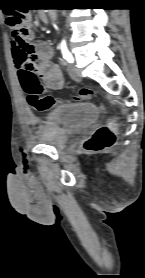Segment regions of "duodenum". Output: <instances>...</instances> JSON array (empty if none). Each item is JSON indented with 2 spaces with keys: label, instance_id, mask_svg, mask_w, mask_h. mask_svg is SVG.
Here are the masks:
<instances>
[{
  "label": "duodenum",
  "instance_id": "1",
  "mask_svg": "<svg viewBox=\"0 0 145 278\" xmlns=\"http://www.w3.org/2000/svg\"><path fill=\"white\" fill-rule=\"evenodd\" d=\"M55 17H56V13L53 12V14L50 17L45 16V19L48 23H52L54 21Z\"/></svg>",
  "mask_w": 145,
  "mask_h": 278
}]
</instances>
